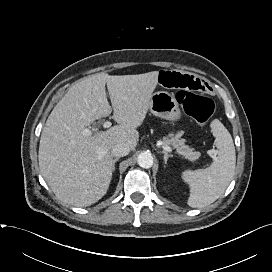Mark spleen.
I'll use <instances>...</instances> for the list:
<instances>
[{
    "instance_id": "3e777b00",
    "label": "spleen",
    "mask_w": 272,
    "mask_h": 272,
    "mask_svg": "<svg viewBox=\"0 0 272 272\" xmlns=\"http://www.w3.org/2000/svg\"><path fill=\"white\" fill-rule=\"evenodd\" d=\"M210 126L215 137L217 157L208 168L186 170L181 175L190 187L187 203L192 208H202L215 202L234 176L236 154L232 137L218 119H214Z\"/></svg>"
}]
</instances>
